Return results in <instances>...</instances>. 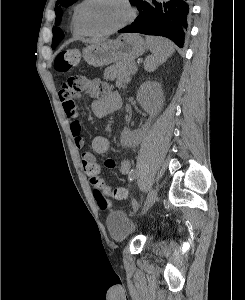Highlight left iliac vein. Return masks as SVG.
Here are the masks:
<instances>
[{"label": "left iliac vein", "mask_w": 245, "mask_h": 300, "mask_svg": "<svg viewBox=\"0 0 245 300\" xmlns=\"http://www.w3.org/2000/svg\"><path fill=\"white\" fill-rule=\"evenodd\" d=\"M157 195H158V191L156 188H153L147 197V200L143 206L141 215H144L149 209L150 207L153 205V203L155 202V200L157 199Z\"/></svg>", "instance_id": "left-iliac-vein-1"}]
</instances>
